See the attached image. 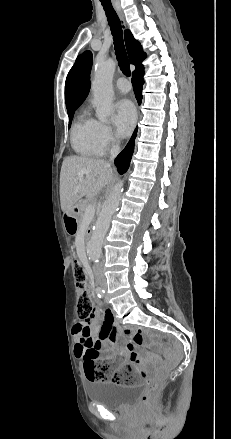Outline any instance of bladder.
<instances>
[{
	"instance_id": "31cf9c89",
	"label": "bladder",
	"mask_w": 231,
	"mask_h": 439,
	"mask_svg": "<svg viewBox=\"0 0 231 439\" xmlns=\"http://www.w3.org/2000/svg\"><path fill=\"white\" fill-rule=\"evenodd\" d=\"M139 384L118 385L108 381H93L87 387L88 398L108 409H118L138 398Z\"/></svg>"
}]
</instances>
